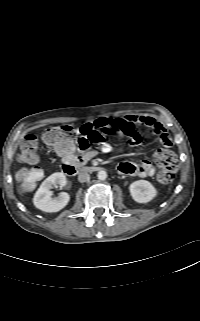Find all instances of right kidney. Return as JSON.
<instances>
[{
	"mask_svg": "<svg viewBox=\"0 0 200 321\" xmlns=\"http://www.w3.org/2000/svg\"><path fill=\"white\" fill-rule=\"evenodd\" d=\"M67 183L66 176L63 173L56 172L46 178L34 195L33 203L36 208L44 212H58L69 202L70 196L62 192L58 197L53 198L51 189L53 187H63Z\"/></svg>",
	"mask_w": 200,
	"mask_h": 321,
	"instance_id": "1",
	"label": "right kidney"
}]
</instances>
